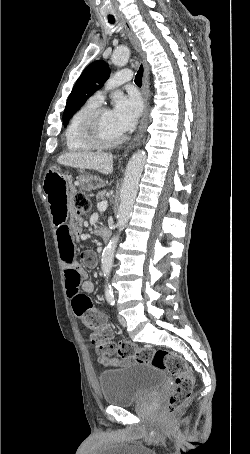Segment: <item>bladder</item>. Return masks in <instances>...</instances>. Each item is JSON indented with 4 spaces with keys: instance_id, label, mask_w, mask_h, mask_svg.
Segmentation results:
<instances>
[{
    "instance_id": "bladder-1",
    "label": "bladder",
    "mask_w": 250,
    "mask_h": 454,
    "mask_svg": "<svg viewBox=\"0 0 250 454\" xmlns=\"http://www.w3.org/2000/svg\"><path fill=\"white\" fill-rule=\"evenodd\" d=\"M98 381L106 404L128 406L160 389L165 375L152 364L128 360L124 366L100 373Z\"/></svg>"
}]
</instances>
